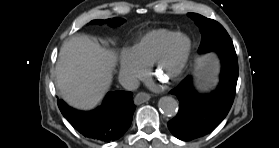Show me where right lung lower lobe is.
Instances as JSON below:
<instances>
[{"mask_svg":"<svg viewBox=\"0 0 279 148\" xmlns=\"http://www.w3.org/2000/svg\"><path fill=\"white\" fill-rule=\"evenodd\" d=\"M63 116L85 137L110 142L124 135L131 125L136 106L133 94L126 91L109 92L103 104L93 111H78L62 100L57 101Z\"/></svg>","mask_w":279,"mask_h":148,"instance_id":"1","label":"right lung lower lobe"}]
</instances>
